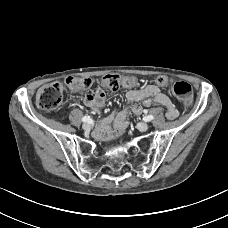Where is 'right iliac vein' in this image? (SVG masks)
Listing matches in <instances>:
<instances>
[{
    "label": "right iliac vein",
    "instance_id": "right-iliac-vein-1",
    "mask_svg": "<svg viewBox=\"0 0 228 228\" xmlns=\"http://www.w3.org/2000/svg\"><path fill=\"white\" fill-rule=\"evenodd\" d=\"M82 128H83L85 131H89V130H90V125L87 124V123H84V124L82 125Z\"/></svg>",
    "mask_w": 228,
    "mask_h": 228
}]
</instances>
